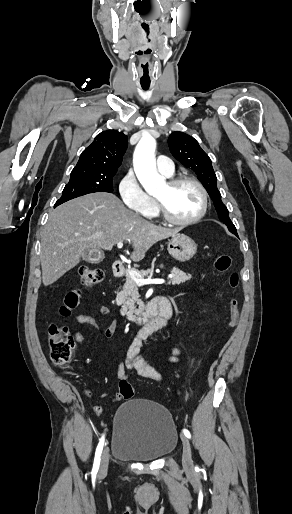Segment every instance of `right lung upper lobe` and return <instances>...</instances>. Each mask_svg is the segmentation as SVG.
I'll use <instances>...</instances> for the list:
<instances>
[{"mask_svg": "<svg viewBox=\"0 0 292 514\" xmlns=\"http://www.w3.org/2000/svg\"><path fill=\"white\" fill-rule=\"evenodd\" d=\"M127 149V136L116 130L98 134L81 153L71 174L114 176Z\"/></svg>", "mask_w": 292, "mask_h": 514, "instance_id": "obj_1", "label": "right lung upper lobe"}]
</instances>
